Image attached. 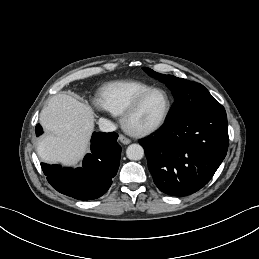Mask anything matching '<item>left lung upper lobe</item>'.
I'll use <instances>...</instances> for the list:
<instances>
[{
    "mask_svg": "<svg viewBox=\"0 0 259 259\" xmlns=\"http://www.w3.org/2000/svg\"><path fill=\"white\" fill-rule=\"evenodd\" d=\"M144 70L150 76L165 82L174 94L176 102L167 122L220 105L200 83L177 78L173 75L160 74L146 67Z\"/></svg>",
    "mask_w": 259,
    "mask_h": 259,
    "instance_id": "1",
    "label": "left lung upper lobe"
}]
</instances>
